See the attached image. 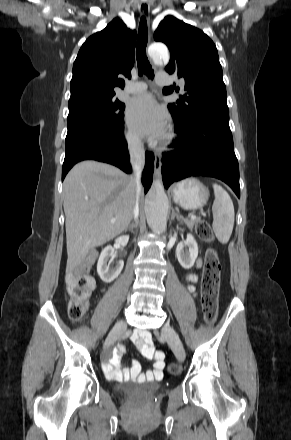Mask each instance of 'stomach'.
<instances>
[{
  "mask_svg": "<svg viewBox=\"0 0 291 440\" xmlns=\"http://www.w3.org/2000/svg\"><path fill=\"white\" fill-rule=\"evenodd\" d=\"M208 198L209 190L194 178L181 181L173 189V200L184 209H199L206 204Z\"/></svg>",
  "mask_w": 291,
  "mask_h": 440,
  "instance_id": "0dacf381",
  "label": "stomach"
}]
</instances>
